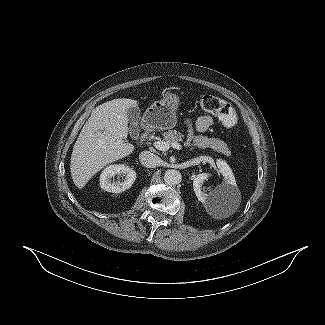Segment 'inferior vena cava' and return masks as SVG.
I'll return each mask as SVG.
<instances>
[{
	"mask_svg": "<svg viewBox=\"0 0 325 325\" xmlns=\"http://www.w3.org/2000/svg\"><path fill=\"white\" fill-rule=\"evenodd\" d=\"M141 164L147 168H154L159 164V157L149 151H143L139 155Z\"/></svg>",
	"mask_w": 325,
	"mask_h": 325,
	"instance_id": "obj_1",
	"label": "inferior vena cava"
}]
</instances>
